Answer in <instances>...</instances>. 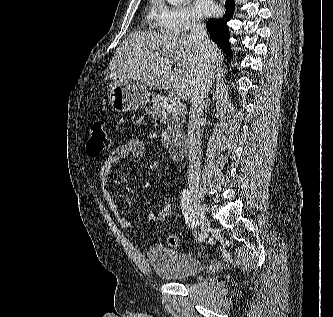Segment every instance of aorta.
<instances>
[{"label": "aorta", "mask_w": 333, "mask_h": 317, "mask_svg": "<svg viewBox=\"0 0 333 317\" xmlns=\"http://www.w3.org/2000/svg\"><path fill=\"white\" fill-rule=\"evenodd\" d=\"M185 0H167V2L171 5L177 6L181 5Z\"/></svg>", "instance_id": "aorta-1"}]
</instances>
